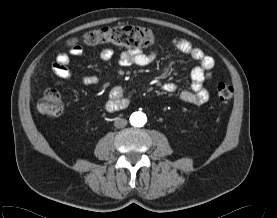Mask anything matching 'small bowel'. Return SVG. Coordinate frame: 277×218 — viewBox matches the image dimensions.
<instances>
[{
  "label": "small bowel",
  "mask_w": 277,
  "mask_h": 218,
  "mask_svg": "<svg viewBox=\"0 0 277 218\" xmlns=\"http://www.w3.org/2000/svg\"><path fill=\"white\" fill-rule=\"evenodd\" d=\"M171 44L181 53L199 62V65L191 72V88L190 90L181 92V100L195 105L206 103L209 99V93L204 88V82L210 76L214 68V59L206 55L203 50L193 47L192 44L185 39L174 38L171 40ZM83 55L84 50L81 46L72 47L69 53H60L52 63L51 68L53 73L60 78H70L72 76L70 69L71 57H82ZM113 57L114 52L110 48L102 49L98 55L99 60L102 62L110 61ZM155 59L156 53L154 52L146 54L138 51H124L118 58V64L122 67L145 66L154 62ZM82 82L87 86H94L99 82V78L95 75H88L83 77ZM163 89L166 92H173L177 89V85L173 82H168L163 85ZM124 93V89L117 86L112 89L111 96L119 98L122 97Z\"/></svg>",
  "instance_id": "obj_1"
}]
</instances>
